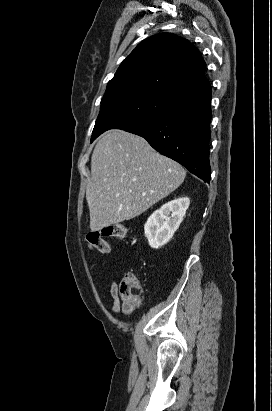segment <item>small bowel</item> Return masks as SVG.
<instances>
[{
  "mask_svg": "<svg viewBox=\"0 0 272 411\" xmlns=\"http://www.w3.org/2000/svg\"><path fill=\"white\" fill-rule=\"evenodd\" d=\"M110 294L113 298L112 312L118 315L123 308L121 301L118 297V286L116 282H112L109 287Z\"/></svg>",
  "mask_w": 272,
  "mask_h": 411,
  "instance_id": "obj_1",
  "label": "small bowel"
}]
</instances>
